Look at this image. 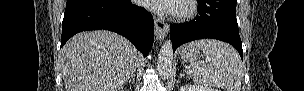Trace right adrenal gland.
<instances>
[{
	"label": "right adrenal gland",
	"mask_w": 304,
	"mask_h": 91,
	"mask_svg": "<svg viewBox=\"0 0 304 91\" xmlns=\"http://www.w3.org/2000/svg\"><path fill=\"white\" fill-rule=\"evenodd\" d=\"M130 82H132L133 84L135 83V74H133V76L128 81V83H130Z\"/></svg>",
	"instance_id": "obj_1"
}]
</instances>
